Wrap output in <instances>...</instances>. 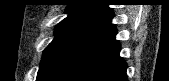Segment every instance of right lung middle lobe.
<instances>
[{
    "mask_svg": "<svg viewBox=\"0 0 169 81\" xmlns=\"http://www.w3.org/2000/svg\"><path fill=\"white\" fill-rule=\"evenodd\" d=\"M86 24L81 19H64L55 30V39L48 45L43 52L40 67L50 58V56L73 34L78 28Z\"/></svg>",
    "mask_w": 169,
    "mask_h": 81,
    "instance_id": "obj_1",
    "label": "right lung middle lobe"
}]
</instances>
